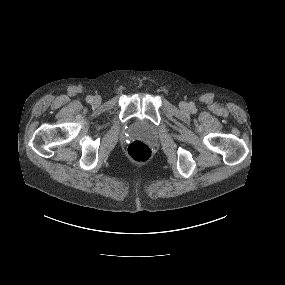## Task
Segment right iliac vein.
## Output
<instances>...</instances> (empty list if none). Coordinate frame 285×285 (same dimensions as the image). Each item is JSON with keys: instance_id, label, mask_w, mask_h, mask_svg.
<instances>
[{"instance_id": "right-iliac-vein-1", "label": "right iliac vein", "mask_w": 285, "mask_h": 285, "mask_svg": "<svg viewBox=\"0 0 285 285\" xmlns=\"http://www.w3.org/2000/svg\"><path fill=\"white\" fill-rule=\"evenodd\" d=\"M93 102H94V104H96V105L100 104V102H101L100 97L96 96V97L94 98Z\"/></svg>"}]
</instances>
